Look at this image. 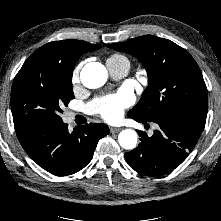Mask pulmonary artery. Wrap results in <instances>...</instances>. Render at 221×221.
Masks as SVG:
<instances>
[{"label":"pulmonary artery","mask_w":221,"mask_h":221,"mask_svg":"<svg viewBox=\"0 0 221 221\" xmlns=\"http://www.w3.org/2000/svg\"><path fill=\"white\" fill-rule=\"evenodd\" d=\"M106 65L111 76L114 78H122L126 76L130 68V64L126 61L114 62L107 60ZM69 117L72 119L74 115L70 114Z\"/></svg>","instance_id":"e3ab8cb5"}]
</instances>
